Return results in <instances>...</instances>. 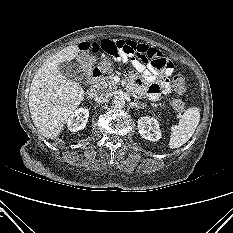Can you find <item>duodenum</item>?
I'll list each match as a JSON object with an SVG mask.
<instances>
[{
  "label": "duodenum",
  "mask_w": 233,
  "mask_h": 233,
  "mask_svg": "<svg viewBox=\"0 0 233 233\" xmlns=\"http://www.w3.org/2000/svg\"><path fill=\"white\" fill-rule=\"evenodd\" d=\"M91 75H92V84L87 90V96L89 98L94 97L98 93L99 83L101 81V78L103 77V73L98 68H93L91 71Z\"/></svg>",
  "instance_id": "1"
}]
</instances>
